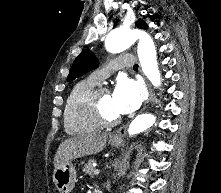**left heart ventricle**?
Listing matches in <instances>:
<instances>
[{
	"label": "left heart ventricle",
	"instance_id": "b2bd125f",
	"mask_svg": "<svg viewBox=\"0 0 221 193\" xmlns=\"http://www.w3.org/2000/svg\"><path fill=\"white\" fill-rule=\"evenodd\" d=\"M102 107L105 113L110 117L118 116L119 114L114 108L112 93L108 90L102 95Z\"/></svg>",
	"mask_w": 221,
	"mask_h": 193
}]
</instances>
